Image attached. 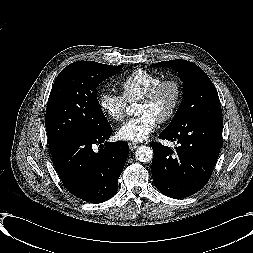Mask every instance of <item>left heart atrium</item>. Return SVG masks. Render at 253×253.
I'll list each match as a JSON object with an SVG mask.
<instances>
[{
	"instance_id": "obj_1",
	"label": "left heart atrium",
	"mask_w": 253,
	"mask_h": 253,
	"mask_svg": "<svg viewBox=\"0 0 253 253\" xmlns=\"http://www.w3.org/2000/svg\"><path fill=\"white\" fill-rule=\"evenodd\" d=\"M157 123L149 114L139 115L126 121L117 130V137L130 142H142L155 130Z\"/></svg>"
}]
</instances>
